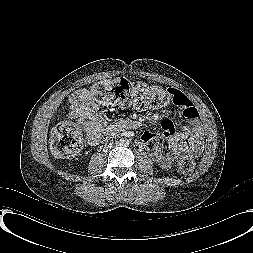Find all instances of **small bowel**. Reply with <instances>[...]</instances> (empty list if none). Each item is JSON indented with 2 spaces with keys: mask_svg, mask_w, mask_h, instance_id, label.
Returning a JSON list of instances; mask_svg holds the SVG:
<instances>
[{
  "mask_svg": "<svg viewBox=\"0 0 253 253\" xmlns=\"http://www.w3.org/2000/svg\"><path fill=\"white\" fill-rule=\"evenodd\" d=\"M170 90L179 94L175 96L173 103L182 109L183 115L192 125H185L179 130H175L169 116L163 114L157 117L163 126L162 134L144 131L141 135L143 143L155 142L149 150V155L165 170L170 169L176 160L186 154L194 157L199 156L204 146L202 127L198 123L199 111L197 107L184 93L173 88ZM97 109L98 106L87 89L77 90L69 97L68 114L84 129L87 140L92 145H97L118 130L132 125V121H121L108 126L105 119L97 114ZM161 138L167 141V152L163 151V146L159 141Z\"/></svg>",
  "mask_w": 253,
  "mask_h": 253,
  "instance_id": "small-bowel-1",
  "label": "small bowel"
}]
</instances>
